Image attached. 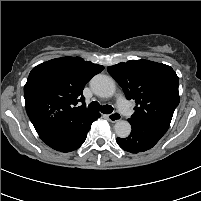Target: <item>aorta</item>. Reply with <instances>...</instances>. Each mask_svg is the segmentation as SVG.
<instances>
[{"instance_id": "762f6f07", "label": "aorta", "mask_w": 201, "mask_h": 201, "mask_svg": "<svg viewBox=\"0 0 201 201\" xmlns=\"http://www.w3.org/2000/svg\"><path fill=\"white\" fill-rule=\"evenodd\" d=\"M90 86L94 94L102 98L112 97L116 91L115 81L103 74L94 76ZM114 131L119 138H126L131 133V125L128 121L119 120L114 125Z\"/></svg>"}]
</instances>
